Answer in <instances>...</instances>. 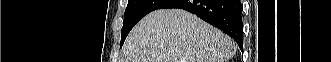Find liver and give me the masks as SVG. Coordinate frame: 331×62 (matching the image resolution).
<instances>
[{
    "label": "liver",
    "mask_w": 331,
    "mask_h": 62,
    "mask_svg": "<svg viewBox=\"0 0 331 62\" xmlns=\"http://www.w3.org/2000/svg\"><path fill=\"white\" fill-rule=\"evenodd\" d=\"M226 34L182 9L156 10L132 29L123 62H227L236 53Z\"/></svg>",
    "instance_id": "liver-1"
}]
</instances>
